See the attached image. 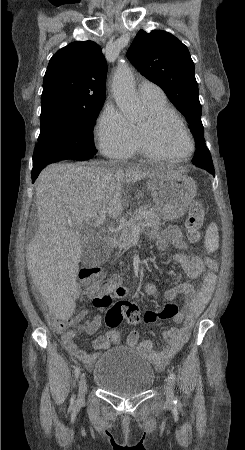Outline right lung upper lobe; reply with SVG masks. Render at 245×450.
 Returning <instances> with one entry per match:
<instances>
[{"label":"right lung upper lobe","mask_w":245,"mask_h":450,"mask_svg":"<svg viewBox=\"0 0 245 450\" xmlns=\"http://www.w3.org/2000/svg\"><path fill=\"white\" fill-rule=\"evenodd\" d=\"M106 74L100 46L92 41L70 43L50 59L43 80L42 109L54 105L90 109L103 104Z\"/></svg>","instance_id":"cb5924a9"}]
</instances>
